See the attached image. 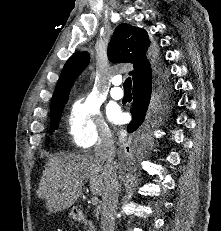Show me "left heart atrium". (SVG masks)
<instances>
[{"label":"left heart atrium","mask_w":221,"mask_h":231,"mask_svg":"<svg viewBox=\"0 0 221 231\" xmlns=\"http://www.w3.org/2000/svg\"><path fill=\"white\" fill-rule=\"evenodd\" d=\"M109 118L115 123H120L123 120V115L119 110L113 109L109 112Z\"/></svg>","instance_id":"left-heart-atrium-1"}]
</instances>
